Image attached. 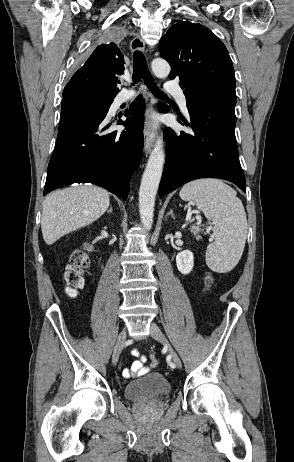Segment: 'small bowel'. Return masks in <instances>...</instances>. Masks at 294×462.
I'll return each mask as SVG.
<instances>
[{
    "label": "small bowel",
    "instance_id": "obj_1",
    "mask_svg": "<svg viewBox=\"0 0 294 462\" xmlns=\"http://www.w3.org/2000/svg\"><path fill=\"white\" fill-rule=\"evenodd\" d=\"M132 355L137 359L132 363L130 368H126L123 370L122 375L125 378H132L148 373L151 367L145 365L146 357L143 355H139L137 350H133Z\"/></svg>",
    "mask_w": 294,
    "mask_h": 462
}]
</instances>
